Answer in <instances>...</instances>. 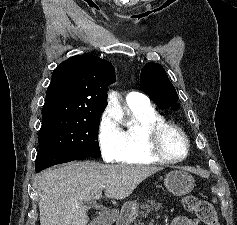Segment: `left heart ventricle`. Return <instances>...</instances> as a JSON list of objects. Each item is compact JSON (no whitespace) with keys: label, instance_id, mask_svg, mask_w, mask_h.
Returning a JSON list of instances; mask_svg holds the SVG:
<instances>
[{"label":"left heart ventricle","instance_id":"b2bd125f","mask_svg":"<svg viewBox=\"0 0 237 225\" xmlns=\"http://www.w3.org/2000/svg\"><path fill=\"white\" fill-rule=\"evenodd\" d=\"M164 149L171 156H182L185 152V145L182 138L175 132H169L164 138Z\"/></svg>","mask_w":237,"mask_h":225}]
</instances>
